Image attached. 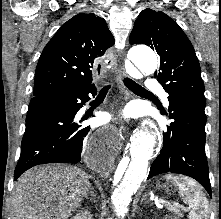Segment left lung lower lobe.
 Returning a JSON list of instances; mask_svg holds the SVG:
<instances>
[{"label":"left lung lower lobe","instance_id":"obj_1","mask_svg":"<svg viewBox=\"0 0 221 219\" xmlns=\"http://www.w3.org/2000/svg\"><path fill=\"white\" fill-rule=\"evenodd\" d=\"M169 107V118L174 122L163 132V148L152 163L147 179L167 172L183 174L197 180L211 197L205 155V112L178 101L169 102Z\"/></svg>","mask_w":221,"mask_h":219}]
</instances>
